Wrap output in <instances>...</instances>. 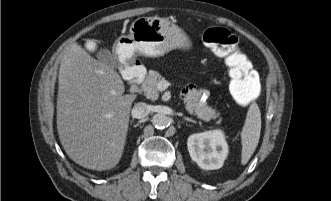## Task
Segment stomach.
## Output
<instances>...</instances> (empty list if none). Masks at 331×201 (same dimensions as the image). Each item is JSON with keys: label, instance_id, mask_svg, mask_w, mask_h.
I'll return each instance as SVG.
<instances>
[{"label": "stomach", "instance_id": "1", "mask_svg": "<svg viewBox=\"0 0 331 201\" xmlns=\"http://www.w3.org/2000/svg\"><path fill=\"white\" fill-rule=\"evenodd\" d=\"M187 35L169 20L160 17H140L130 26L128 35L115 41V51L123 64L137 55L163 56L173 49H189Z\"/></svg>", "mask_w": 331, "mask_h": 201}]
</instances>
